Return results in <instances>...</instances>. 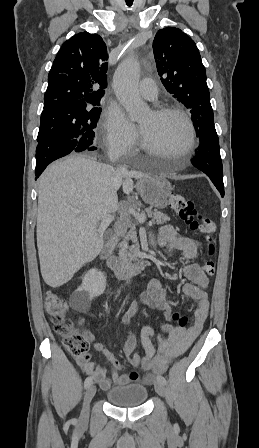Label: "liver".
<instances>
[{
  "mask_svg": "<svg viewBox=\"0 0 259 448\" xmlns=\"http://www.w3.org/2000/svg\"><path fill=\"white\" fill-rule=\"evenodd\" d=\"M130 172L88 156H66L38 180L37 248L45 284L59 288L99 256L103 240L97 224L119 210L117 190L133 188ZM122 178H127L122 182ZM80 210L81 214H74Z\"/></svg>",
  "mask_w": 259,
  "mask_h": 448,
  "instance_id": "obj_1",
  "label": "liver"
}]
</instances>
